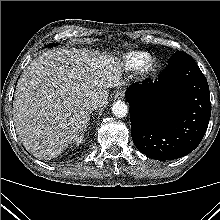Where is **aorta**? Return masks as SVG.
I'll list each match as a JSON object with an SVG mask.
<instances>
[{
    "label": "aorta",
    "mask_w": 220,
    "mask_h": 220,
    "mask_svg": "<svg viewBox=\"0 0 220 220\" xmlns=\"http://www.w3.org/2000/svg\"><path fill=\"white\" fill-rule=\"evenodd\" d=\"M112 113L118 118L125 117L128 113V107L126 103L121 100L114 102L112 106Z\"/></svg>",
    "instance_id": "762f6f07"
}]
</instances>
